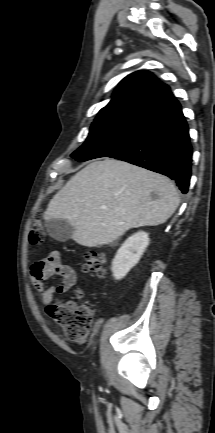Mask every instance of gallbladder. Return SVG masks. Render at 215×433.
Masks as SVG:
<instances>
[{
  "label": "gallbladder",
  "mask_w": 215,
  "mask_h": 433,
  "mask_svg": "<svg viewBox=\"0 0 215 433\" xmlns=\"http://www.w3.org/2000/svg\"><path fill=\"white\" fill-rule=\"evenodd\" d=\"M49 235L56 241L65 242L71 239L74 228L66 220L51 219L46 222Z\"/></svg>",
  "instance_id": "1"
}]
</instances>
